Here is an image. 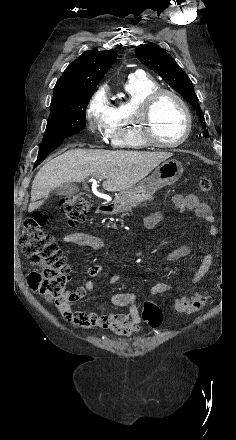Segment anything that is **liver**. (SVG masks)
I'll return each mask as SVG.
<instances>
[{
    "label": "liver",
    "instance_id": "obj_1",
    "mask_svg": "<svg viewBox=\"0 0 236 440\" xmlns=\"http://www.w3.org/2000/svg\"><path fill=\"white\" fill-rule=\"evenodd\" d=\"M169 152L71 149L46 163L36 174L28 212L38 209L51 191L64 183L84 182L89 176L104 178L106 191L133 187L169 157Z\"/></svg>",
    "mask_w": 236,
    "mask_h": 440
}]
</instances>
